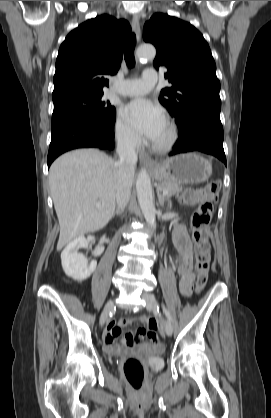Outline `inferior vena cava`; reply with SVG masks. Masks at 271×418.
<instances>
[{
	"instance_id": "obj_1",
	"label": "inferior vena cava",
	"mask_w": 271,
	"mask_h": 418,
	"mask_svg": "<svg viewBox=\"0 0 271 418\" xmlns=\"http://www.w3.org/2000/svg\"><path fill=\"white\" fill-rule=\"evenodd\" d=\"M135 146V139H128L117 146L119 161L117 162L116 202L118 209H124L130 199L131 177L137 163Z\"/></svg>"
}]
</instances>
